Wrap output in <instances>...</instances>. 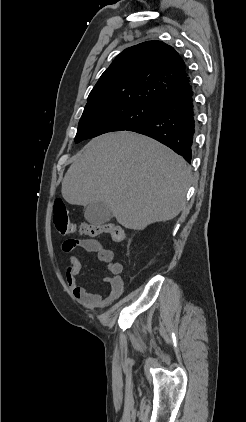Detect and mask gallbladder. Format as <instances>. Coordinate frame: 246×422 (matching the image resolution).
I'll return each mask as SVG.
<instances>
[{"instance_id": "obj_1", "label": "gallbladder", "mask_w": 246, "mask_h": 422, "mask_svg": "<svg viewBox=\"0 0 246 422\" xmlns=\"http://www.w3.org/2000/svg\"><path fill=\"white\" fill-rule=\"evenodd\" d=\"M84 216L89 223L101 225L111 220L112 212L103 201H99L87 205Z\"/></svg>"}]
</instances>
